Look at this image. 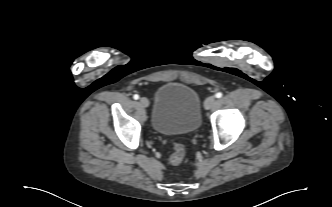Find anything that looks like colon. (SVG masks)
<instances>
[{
    "instance_id": "obj_1",
    "label": "colon",
    "mask_w": 332,
    "mask_h": 207,
    "mask_svg": "<svg viewBox=\"0 0 332 207\" xmlns=\"http://www.w3.org/2000/svg\"><path fill=\"white\" fill-rule=\"evenodd\" d=\"M185 157V148L181 143H173V153L171 154L169 161L172 165H179Z\"/></svg>"
}]
</instances>
